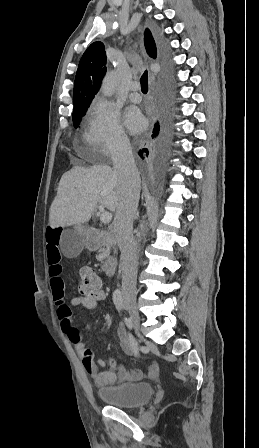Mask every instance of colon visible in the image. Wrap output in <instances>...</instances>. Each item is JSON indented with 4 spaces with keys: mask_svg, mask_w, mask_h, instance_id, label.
<instances>
[{
    "mask_svg": "<svg viewBox=\"0 0 259 448\" xmlns=\"http://www.w3.org/2000/svg\"><path fill=\"white\" fill-rule=\"evenodd\" d=\"M103 279L91 268L83 269L78 280V292L81 295H98L102 292Z\"/></svg>",
    "mask_w": 259,
    "mask_h": 448,
    "instance_id": "colon-1",
    "label": "colon"
}]
</instances>
